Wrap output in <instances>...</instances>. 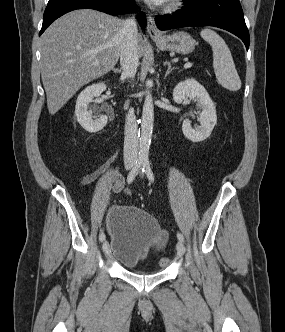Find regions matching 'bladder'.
Instances as JSON below:
<instances>
[{"label":"bladder","instance_id":"bladder-1","mask_svg":"<svg viewBox=\"0 0 285 332\" xmlns=\"http://www.w3.org/2000/svg\"><path fill=\"white\" fill-rule=\"evenodd\" d=\"M109 250L127 268H135L154 247L162 245L166 234L157 220L136 206L115 207L108 216Z\"/></svg>","mask_w":285,"mask_h":332}]
</instances>
